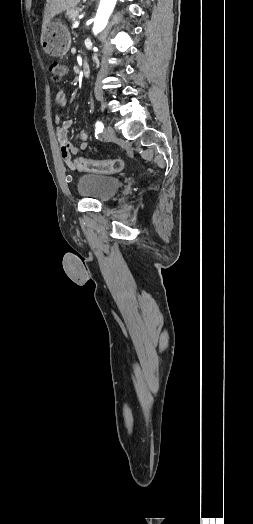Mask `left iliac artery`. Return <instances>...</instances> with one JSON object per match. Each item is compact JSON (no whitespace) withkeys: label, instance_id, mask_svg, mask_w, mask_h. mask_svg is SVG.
I'll use <instances>...</instances> for the list:
<instances>
[{"label":"left iliac artery","instance_id":"left-iliac-artery-1","mask_svg":"<svg viewBox=\"0 0 253 524\" xmlns=\"http://www.w3.org/2000/svg\"><path fill=\"white\" fill-rule=\"evenodd\" d=\"M95 127H96L95 129L96 133H101L104 128L103 123L101 121H97L95 124Z\"/></svg>","mask_w":253,"mask_h":524}]
</instances>
